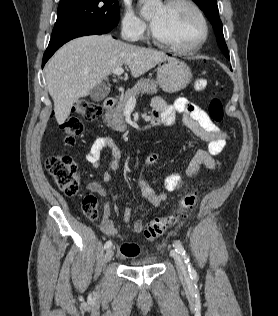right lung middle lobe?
<instances>
[{"label":"right lung middle lobe","instance_id":"obj_1","mask_svg":"<svg viewBox=\"0 0 278 316\" xmlns=\"http://www.w3.org/2000/svg\"><path fill=\"white\" fill-rule=\"evenodd\" d=\"M118 21L117 0H60L52 37L88 26H116Z\"/></svg>","mask_w":278,"mask_h":316}]
</instances>
